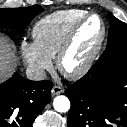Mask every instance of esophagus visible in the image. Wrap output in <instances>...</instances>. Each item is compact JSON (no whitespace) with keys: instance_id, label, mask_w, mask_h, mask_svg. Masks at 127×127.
<instances>
[{"instance_id":"34e87169","label":"esophagus","mask_w":127,"mask_h":127,"mask_svg":"<svg viewBox=\"0 0 127 127\" xmlns=\"http://www.w3.org/2000/svg\"><path fill=\"white\" fill-rule=\"evenodd\" d=\"M63 88L58 86V85H55L52 90H51V93H52V96H55V95H58V94H61L63 93Z\"/></svg>"}]
</instances>
